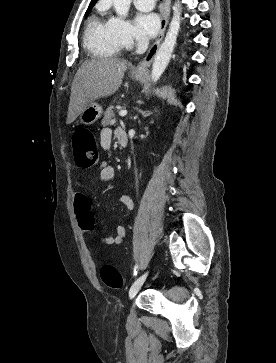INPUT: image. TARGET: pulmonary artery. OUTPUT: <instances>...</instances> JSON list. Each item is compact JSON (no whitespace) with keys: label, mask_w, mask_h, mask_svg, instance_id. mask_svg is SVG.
Returning a JSON list of instances; mask_svg holds the SVG:
<instances>
[{"label":"pulmonary artery","mask_w":276,"mask_h":363,"mask_svg":"<svg viewBox=\"0 0 276 363\" xmlns=\"http://www.w3.org/2000/svg\"><path fill=\"white\" fill-rule=\"evenodd\" d=\"M155 0H134L136 8L142 11H150L154 7Z\"/></svg>","instance_id":"obj_1"}]
</instances>
